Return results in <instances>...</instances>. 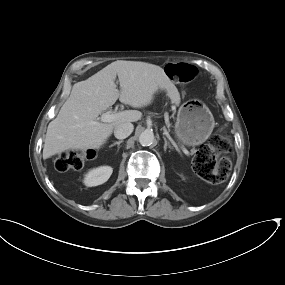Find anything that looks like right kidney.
Masks as SVG:
<instances>
[{
    "instance_id": "obj_1",
    "label": "right kidney",
    "mask_w": 285,
    "mask_h": 285,
    "mask_svg": "<svg viewBox=\"0 0 285 285\" xmlns=\"http://www.w3.org/2000/svg\"><path fill=\"white\" fill-rule=\"evenodd\" d=\"M113 169L110 166H101L89 171L84 178V184L88 187L105 183L111 176Z\"/></svg>"
}]
</instances>
